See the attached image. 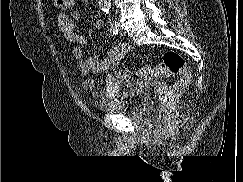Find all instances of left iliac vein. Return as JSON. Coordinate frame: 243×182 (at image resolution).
I'll list each match as a JSON object with an SVG mask.
<instances>
[{
	"instance_id": "obj_1",
	"label": "left iliac vein",
	"mask_w": 243,
	"mask_h": 182,
	"mask_svg": "<svg viewBox=\"0 0 243 182\" xmlns=\"http://www.w3.org/2000/svg\"><path fill=\"white\" fill-rule=\"evenodd\" d=\"M119 31H120V35L121 36H125L126 35V32L123 28L119 27Z\"/></svg>"
}]
</instances>
